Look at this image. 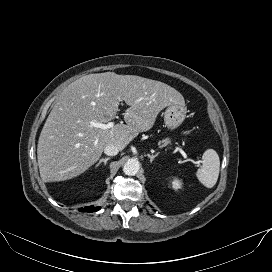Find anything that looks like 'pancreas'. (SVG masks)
I'll list each match as a JSON object with an SVG mask.
<instances>
[{
  "label": "pancreas",
  "mask_w": 272,
  "mask_h": 272,
  "mask_svg": "<svg viewBox=\"0 0 272 272\" xmlns=\"http://www.w3.org/2000/svg\"><path fill=\"white\" fill-rule=\"evenodd\" d=\"M161 143H162L163 145H167V144L170 143V140H169V139H164V140L161 141Z\"/></svg>",
  "instance_id": "1"
}]
</instances>
